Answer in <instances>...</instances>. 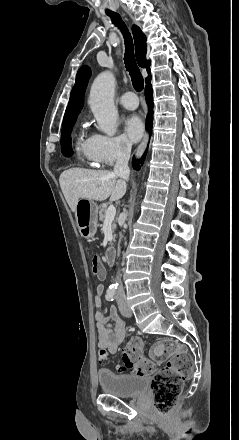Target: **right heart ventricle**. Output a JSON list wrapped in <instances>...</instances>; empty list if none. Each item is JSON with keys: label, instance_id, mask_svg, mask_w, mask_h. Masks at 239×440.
<instances>
[{"label": "right heart ventricle", "instance_id": "obj_1", "mask_svg": "<svg viewBox=\"0 0 239 440\" xmlns=\"http://www.w3.org/2000/svg\"><path fill=\"white\" fill-rule=\"evenodd\" d=\"M75 147L83 164L87 166H96L98 164V162L89 154L87 149V139H85L81 133L76 135Z\"/></svg>", "mask_w": 239, "mask_h": 440}]
</instances>
